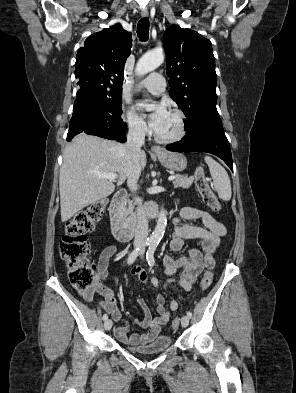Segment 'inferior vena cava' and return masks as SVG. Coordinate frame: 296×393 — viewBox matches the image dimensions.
<instances>
[{"label": "inferior vena cava", "mask_w": 296, "mask_h": 393, "mask_svg": "<svg viewBox=\"0 0 296 393\" xmlns=\"http://www.w3.org/2000/svg\"><path fill=\"white\" fill-rule=\"evenodd\" d=\"M146 131L147 127L143 122L130 123L127 142L122 145V153L129 168L127 184L132 192L137 190V181L141 172L139 154L141 152V146L145 142ZM135 204H137V225L134 245L140 246L144 244L148 236V220L142 205V199L135 197Z\"/></svg>", "instance_id": "1"}]
</instances>
